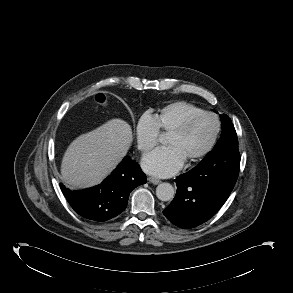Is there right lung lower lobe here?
<instances>
[{
    "label": "right lung lower lobe",
    "instance_id": "obj_1",
    "mask_svg": "<svg viewBox=\"0 0 293 293\" xmlns=\"http://www.w3.org/2000/svg\"><path fill=\"white\" fill-rule=\"evenodd\" d=\"M139 165L125 157L101 184L82 191H70L60 184L71 207L82 217L94 221H107L127 207L130 192L146 183Z\"/></svg>",
    "mask_w": 293,
    "mask_h": 293
}]
</instances>
